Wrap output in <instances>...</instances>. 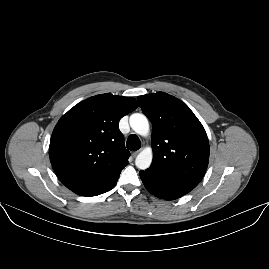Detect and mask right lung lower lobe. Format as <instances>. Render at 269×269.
<instances>
[{
  "instance_id": "98d812e1",
  "label": "right lung lower lobe",
  "mask_w": 269,
  "mask_h": 269,
  "mask_svg": "<svg viewBox=\"0 0 269 269\" xmlns=\"http://www.w3.org/2000/svg\"><path fill=\"white\" fill-rule=\"evenodd\" d=\"M119 175L114 176L112 179L108 180L107 182L98 184V185H93V186H88V187H82V188H77L75 190H72L74 193L81 195V196H96L102 193H105L109 190H111L117 183V180L119 178Z\"/></svg>"
}]
</instances>
